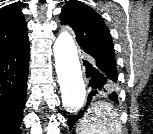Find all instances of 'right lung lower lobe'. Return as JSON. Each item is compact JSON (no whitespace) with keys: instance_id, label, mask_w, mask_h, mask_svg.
<instances>
[{"instance_id":"1","label":"right lung lower lobe","mask_w":153,"mask_h":134,"mask_svg":"<svg viewBox=\"0 0 153 134\" xmlns=\"http://www.w3.org/2000/svg\"><path fill=\"white\" fill-rule=\"evenodd\" d=\"M29 42L0 56V134H20L26 102Z\"/></svg>"}]
</instances>
